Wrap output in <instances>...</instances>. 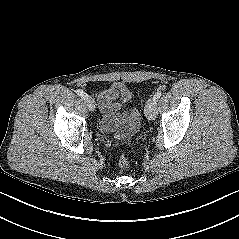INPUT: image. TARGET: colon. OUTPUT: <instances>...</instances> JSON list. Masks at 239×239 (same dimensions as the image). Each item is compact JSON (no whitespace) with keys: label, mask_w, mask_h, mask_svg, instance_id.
I'll list each match as a JSON object with an SVG mask.
<instances>
[{"label":"colon","mask_w":239,"mask_h":239,"mask_svg":"<svg viewBox=\"0 0 239 239\" xmlns=\"http://www.w3.org/2000/svg\"><path fill=\"white\" fill-rule=\"evenodd\" d=\"M118 165L121 168H126L129 165V159L125 152H121L118 157Z\"/></svg>","instance_id":"1"}]
</instances>
